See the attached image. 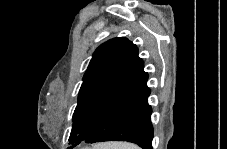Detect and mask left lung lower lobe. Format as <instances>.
Instances as JSON below:
<instances>
[{"label":"left lung lower lobe","instance_id":"left-lung-lower-lobe-1","mask_svg":"<svg viewBox=\"0 0 227 149\" xmlns=\"http://www.w3.org/2000/svg\"><path fill=\"white\" fill-rule=\"evenodd\" d=\"M148 74L141 62L127 88L107 114L98 122L84 143L128 141L143 149H152L153 127Z\"/></svg>","mask_w":227,"mask_h":149}]
</instances>
